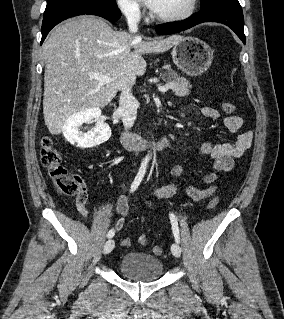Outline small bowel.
I'll return each instance as SVG.
<instances>
[{"label": "small bowel", "mask_w": 284, "mask_h": 319, "mask_svg": "<svg viewBox=\"0 0 284 319\" xmlns=\"http://www.w3.org/2000/svg\"><path fill=\"white\" fill-rule=\"evenodd\" d=\"M202 114L209 119H218L220 113L218 110L212 107H202ZM226 128L236 133V140L233 143H218L204 142L200 145V152L208 156L212 161V170L203 177V182L209 186L205 189H201L197 184L191 183L188 187V194L194 201H201L211 197L217 190V185L214 182L220 176L228 174L234 166L235 159L242 156L250 147L252 143L253 134L251 131H240L243 125V120L239 116H227L223 119ZM185 171L182 166L176 165L171 170L173 178L177 179L184 175ZM176 190V183L172 182L160 189L150 192L147 205L154 206L156 200L169 198ZM88 199L87 189L82 185L79 193L76 197V207L78 212L83 216H87L88 211L86 208V202ZM117 212L121 215V218L115 224V230L119 231L125 222V217L130 211L127 197L121 195L116 204ZM114 230V231H115Z\"/></svg>", "instance_id": "small-bowel-1"}]
</instances>
